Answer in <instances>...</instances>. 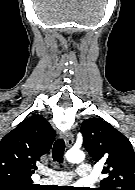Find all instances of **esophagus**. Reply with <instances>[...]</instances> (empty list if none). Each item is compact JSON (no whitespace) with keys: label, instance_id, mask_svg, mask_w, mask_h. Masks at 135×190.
Segmentation results:
<instances>
[{"label":"esophagus","instance_id":"34e87169","mask_svg":"<svg viewBox=\"0 0 135 190\" xmlns=\"http://www.w3.org/2000/svg\"><path fill=\"white\" fill-rule=\"evenodd\" d=\"M64 140L67 147H71L74 142V135L72 134V132L70 131L66 132L64 135Z\"/></svg>","mask_w":135,"mask_h":190}]
</instances>
